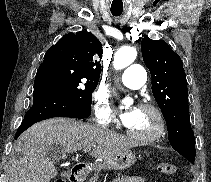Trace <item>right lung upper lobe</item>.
<instances>
[{
  "label": "right lung upper lobe",
  "mask_w": 211,
  "mask_h": 182,
  "mask_svg": "<svg viewBox=\"0 0 211 182\" xmlns=\"http://www.w3.org/2000/svg\"><path fill=\"white\" fill-rule=\"evenodd\" d=\"M95 57H102L101 42L92 33L79 31L64 35L50 47L40 66L59 64L99 80L101 64Z\"/></svg>",
  "instance_id": "right-lung-upper-lobe-1"
}]
</instances>
